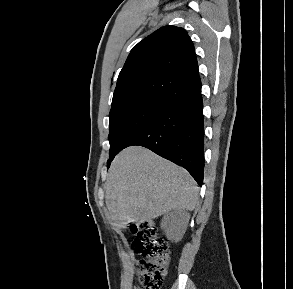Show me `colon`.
<instances>
[{"mask_svg":"<svg viewBox=\"0 0 293 289\" xmlns=\"http://www.w3.org/2000/svg\"><path fill=\"white\" fill-rule=\"evenodd\" d=\"M132 232L134 246L142 256L137 270L141 288L161 289L171 258L167 243L149 222L134 225Z\"/></svg>","mask_w":293,"mask_h":289,"instance_id":"1","label":"colon"}]
</instances>
